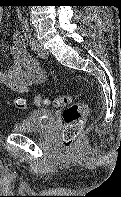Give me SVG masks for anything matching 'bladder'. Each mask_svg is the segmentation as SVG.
I'll return each instance as SVG.
<instances>
[{"label": "bladder", "mask_w": 121, "mask_h": 197, "mask_svg": "<svg viewBox=\"0 0 121 197\" xmlns=\"http://www.w3.org/2000/svg\"><path fill=\"white\" fill-rule=\"evenodd\" d=\"M54 115L51 111L40 110L12 126L15 133H45L53 125Z\"/></svg>", "instance_id": "bladder-1"}]
</instances>
